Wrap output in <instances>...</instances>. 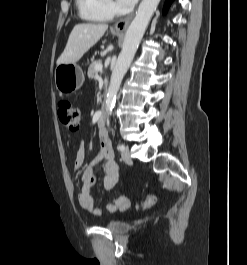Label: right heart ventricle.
Segmentation results:
<instances>
[{
  "instance_id": "obj_1",
  "label": "right heart ventricle",
  "mask_w": 247,
  "mask_h": 265,
  "mask_svg": "<svg viewBox=\"0 0 247 265\" xmlns=\"http://www.w3.org/2000/svg\"><path fill=\"white\" fill-rule=\"evenodd\" d=\"M80 15L89 21L105 22L112 17L103 7V0H77Z\"/></svg>"
}]
</instances>
